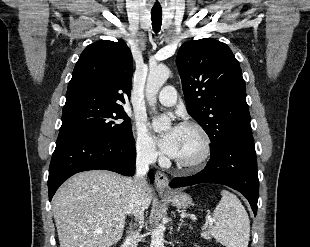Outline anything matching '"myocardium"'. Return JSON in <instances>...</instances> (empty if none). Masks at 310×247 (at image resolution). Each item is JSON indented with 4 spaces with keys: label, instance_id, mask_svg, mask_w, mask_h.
Returning a JSON list of instances; mask_svg holds the SVG:
<instances>
[{
    "label": "myocardium",
    "instance_id": "1",
    "mask_svg": "<svg viewBox=\"0 0 310 247\" xmlns=\"http://www.w3.org/2000/svg\"><path fill=\"white\" fill-rule=\"evenodd\" d=\"M180 127L191 128V129L196 130L202 138L203 149H202V153L193 160L184 161V160L174 158L173 161L177 166L183 169L193 170V169L200 168L208 161L212 153V141H211L210 135L201 124L194 122V121H185L181 123Z\"/></svg>",
    "mask_w": 310,
    "mask_h": 247
}]
</instances>
